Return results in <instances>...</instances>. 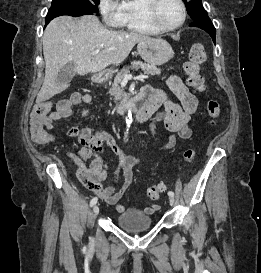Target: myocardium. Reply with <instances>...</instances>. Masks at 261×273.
Segmentation results:
<instances>
[{
    "instance_id": "myocardium-1",
    "label": "myocardium",
    "mask_w": 261,
    "mask_h": 273,
    "mask_svg": "<svg viewBox=\"0 0 261 273\" xmlns=\"http://www.w3.org/2000/svg\"><path fill=\"white\" fill-rule=\"evenodd\" d=\"M181 8L182 17L178 24L173 27H164L160 24L157 18V9L160 5L161 0H149L147 5V18L149 23L157 29L159 32H173L179 29L186 21L187 9L183 0H176Z\"/></svg>"
}]
</instances>
